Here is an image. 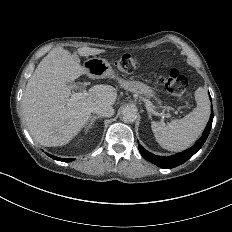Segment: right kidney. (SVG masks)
<instances>
[{"label":"right kidney","instance_id":"obj_1","mask_svg":"<svg viewBox=\"0 0 232 232\" xmlns=\"http://www.w3.org/2000/svg\"><path fill=\"white\" fill-rule=\"evenodd\" d=\"M82 140H83V139H79L78 142L76 143V145H77L80 141H82Z\"/></svg>","mask_w":232,"mask_h":232}]
</instances>
